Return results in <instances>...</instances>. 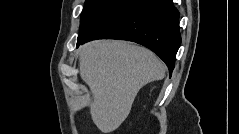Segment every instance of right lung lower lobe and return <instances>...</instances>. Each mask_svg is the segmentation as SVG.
<instances>
[{
    "instance_id": "obj_1",
    "label": "right lung lower lobe",
    "mask_w": 239,
    "mask_h": 134,
    "mask_svg": "<svg viewBox=\"0 0 239 134\" xmlns=\"http://www.w3.org/2000/svg\"><path fill=\"white\" fill-rule=\"evenodd\" d=\"M179 16L172 0H123L85 37L78 38L77 47L101 38L133 41L154 51L171 75L181 44Z\"/></svg>"
}]
</instances>
